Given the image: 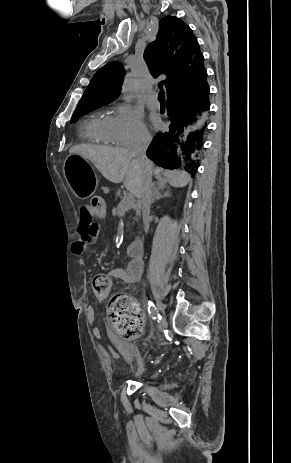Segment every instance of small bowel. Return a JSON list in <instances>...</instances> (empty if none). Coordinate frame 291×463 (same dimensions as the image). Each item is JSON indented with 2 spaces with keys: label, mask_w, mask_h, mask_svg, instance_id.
<instances>
[{
  "label": "small bowel",
  "mask_w": 291,
  "mask_h": 463,
  "mask_svg": "<svg viewBox=\"0 0 291 463\" xmlns=\"http://www.w3.org/2000/svg\"><path fill=\"white\" fill-rule=\"evenodd\" d=\"M103 215V214H102ZM95 212L91 205H84L79 210L77 239L72 244V252L75 255H83L88 247L96 240L100 227L93 221L95 216H102ZM87 264V262H85ZM143 270L141 258H133L129 261L126 268H115L108 272L114 279H119L128 283H136L140 280ZM90 326L96 327L95 318L90 320Z\"/></svg>",
  "instance_id": "c3829d8e"
}]
</instances>
